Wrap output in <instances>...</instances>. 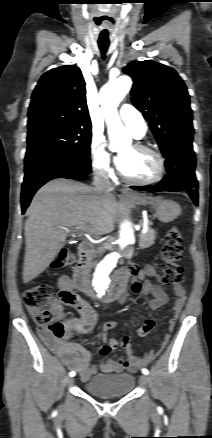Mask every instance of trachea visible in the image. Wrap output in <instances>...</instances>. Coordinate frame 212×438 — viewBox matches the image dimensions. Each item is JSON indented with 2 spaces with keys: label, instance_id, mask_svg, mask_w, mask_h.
I'll list each match as a JSON object with an SVG mask.
<instances>
[{
  "label": "trachea",
  "instance_id": "3493384b",
  "mask_svg": "<svg viewBox=\"0 0 212 438\" xmlns=\"http://www.w3.org/2000/svg\"><path fill=\"white\" fill-rule=\"evenodd\" d=\"M98 46H99V49H100V51H101V53H102V58L103 59H105L106 58V52H107V49H108V47H109V43H102V42H99L98 43Z\"/></svg>",
  "mask_w": 212,
  "mask_h": 438
}]
</instances>
